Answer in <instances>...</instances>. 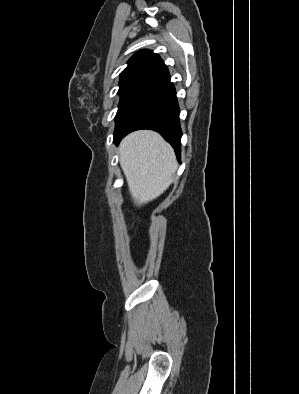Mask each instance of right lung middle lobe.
Instances as JSON below:
<instances>
[{"label":"right lung middle lobe","mask_w":299,"mask_h":394,"mask_svg":"<svg viewBox=\"0 0 299 394\" xmlns=\"http://www.w3.org/2000/svg\"><path fill=\"white\" fill-rule=\"evenodd\" d=\"M145 87L127 86L120 87L118 94L120 95V102L118 111L115 117L116 126L128 110V108L146 91Z\"/></svg>","instance_id":"right-lung-middle-lobe-1"}]
</instances>
